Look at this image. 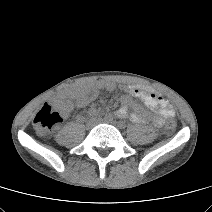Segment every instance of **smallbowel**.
I'll list each match as a JSON object with an SVG mask.
<instances>
[{
  "mask_svg": "<svg viewBox=\"0 0 212 212\" xmlns=\"http://www.w3.org/2000/svg\"><path fill=\"white\" fill-rule=\"evenodd\" d=\"M121 90L124 94L120 97V107L116 110L115 115L124 118L128 115V109L134 107L135 111L131 115V120L136 123H146L151 117L136 106L133 98L140 99L151 109H159V115L152 118L155 126H162L166 119H171L175 116V111L169 102L160 94L151 89H146L136 85H122ZM116 89V84L110 80H98L90 83L77 85L60 96L55 105L59 109L63 117L69 116L74 106L85 107L90 104L100 90L113 91ZM79 120L82 119L80 115Z\"/></svg>",
  "mask_w": 212,
  "mask_h": 212,
  "instance_id": "c3829d8e",
  "label": "small bowel"
}]
</instances>
